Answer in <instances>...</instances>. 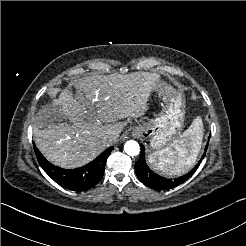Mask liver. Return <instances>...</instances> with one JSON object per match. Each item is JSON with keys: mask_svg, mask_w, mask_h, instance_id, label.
Returning a JSON list of instances; mask_svg holds the SVG:
<instances>
[{"mask_svg": "<svg viewBox=\"0 0 246 246\" xmlns=\"http://www.w3.org/2000/svg\"><path fill=\"white\" fill-rule=\"evenodd\" d=\"M158 81L153 74L79 79L76 97L66 87L52 104L71 124L48 120L43 111L37 114L33 134L38 149L61 167L88 163L117 140L124 127L117 120L145 114L149 92ZM111 134L115 137L107 138Z\"/></svg>", "mask_w": 246, "mask_h": 246, "instance_id": "1", "label": "liver"}]
</instances>
